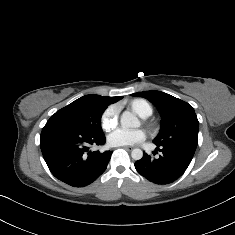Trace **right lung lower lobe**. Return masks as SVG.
<instances>
[{
  "mask_svg": "<svg viewBox=\"0 0 235 235\" xmlns=\"http://www.w3.org/2000/svg\"><path fill=\"white\" fill-rule=\"evenodd\" d=\"M105 135H97L62 121L48 120L40 136V147L51 173L62 182L84 187L107 168L111 151L91 152V145H102Z\"/></svg>",
  "mask_w": 235,
  "mask_h": 235,
  "instance_id": "right-lung-lower-lobe-1",
  "label": "right lung lower lobe"
}]
</instances>
